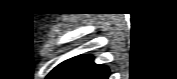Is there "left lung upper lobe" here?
I'll use <instances>...</instances> for the list:
<instances>
[{"label":"left lung upper lobe","mask_w":177,"mask_h":79,"mask_svg":"<svg viewBox=\"0 0 177 79\" xmlns=\"http://www.w3.org/2000/svg\"><path fill=\"white\" fill-rule=\"evenodd\" d=\"M59 66H60V64L50 72V74L48 75L47 78H49V76H50L51 74H53V73L57 70V68H58Z\"/></svg>","instance_id":"1"}]
</instances>
